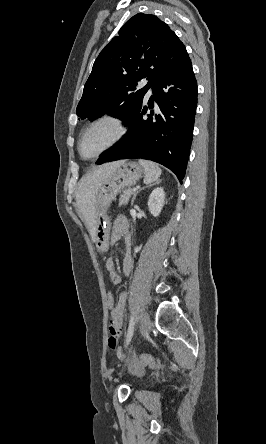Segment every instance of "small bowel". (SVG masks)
Returning a JSON list of instances; mask_svg holds the SVG:
<instances>
[{"mask_svg":"<svg viewBox=\"0 0 266 444\" xmlns=\"http://www.w3.org/2000/svg\"><path fill=\"white\" fill-rule=\"evenodd\" d=\"M122 237H125L126 242V254L123 261V272L125 275H129L132 269V255H131V241L129 237V225L127 218L123 215H119L115 218L113 229L110 235V243H117ZM105 267L109 273L110 280L114 285H118L121 282L120 275L116 272L115 261L112 258H108L105 262ZM128 295L126 292H121L118 297L116 307L111 310L109 321V346L117 354H120L118 347V340L123 332V320L124 312L126 308Z\"/></svg>","mask_w":266,"mask_h":444,"instance_id":"obj_1","label":"small bowel"}]
</instances>
